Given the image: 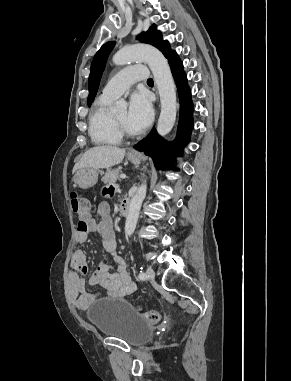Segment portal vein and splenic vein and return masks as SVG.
<instances>
[{
	"instance_id": "portal-vein-and-splenic-vein-1",
	"label": "portal vein and splenic vein",
	"mask_w": 291,
	"mask_h": 381,
	"mask_svg": "<svg viewBox=\"0 0 291 381\" xmlns=\"http://www.w3.org/2000/svg\"><path fill=\"white\" fill-rule=\"evenodd\" d=\"M120 178H121V179H125V178H127V176H126L125 174H121V175H120Z\"/></svg>"
}]
</instances>
